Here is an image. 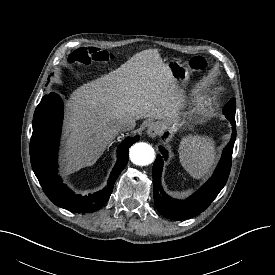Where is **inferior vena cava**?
I'll list each match as a JSON object with an SVG mask.
<instances>
[{"mask_svg": "<svg viewBox=\"0 0 275 275\" xmlns=\"http://www.w3.org/2000/svg\"><path fill=\"white\" fill-rule=\"evenodd\" d=\"M116 127L120 131H129L135 127V119L131 117L121 118L117 121Z\"/></svg>", "mask_w": 275, "mask_h": 275, "instance_id": "1", "label": "inferior vena cava"}]
</instances>
